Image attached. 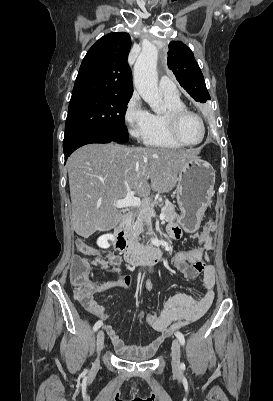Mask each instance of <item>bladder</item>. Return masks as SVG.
Returning <instances> with one entry per match:
<instances>
[{
    "mask_svg": "<svg viewBox=\"0 0 273 401\" xmlns=\"http://www.w3.org/2000/svg\"><path fill=\"white\" fill-rule=\"evenodd\" d=\"M123 358L126 359V360L144 361V360H148L149 358H151V354L150 355H146V356H141V357L123 356Z\"/></svg>",
    "mask_w": 273,
    "mask_h": 401,
    "instance_id": "obj_1",
    "label": "bladder"
}]
</instances>
